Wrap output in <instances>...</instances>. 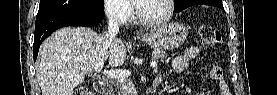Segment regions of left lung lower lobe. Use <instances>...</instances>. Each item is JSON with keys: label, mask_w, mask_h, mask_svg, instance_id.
<instances>
[{"label": "left lung lower lobe", "mask_w": 277, "mask_h": 95, "mask_svg": "<svg viewBox=\"0 0 277 95\" xmlns=\"http://www.w3.org/2000/svg\"><path fill=\"white\" fill-rule=\"evenodd\" d=\"M200 4H205V5H211V6L219 7L220 9L224 10L223 5H214V4H211V3H208V2H202Z\"/></svg>", "instance_id": "1"}]
</instances>
